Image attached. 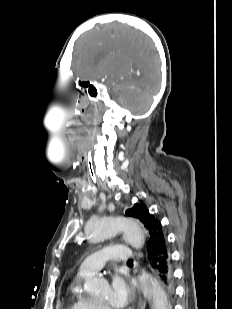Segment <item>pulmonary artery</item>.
<instances>
[{
  "label": "pulmonary artery",
  "mask_w": 232,
  "mask_h": 309,
  "mask_svg": "<svg viewBox=\"0 0 232 309\" xmlns=\"http://www.w3.org/2000/svg\"><path fill=\"white\" fill-rule=\"evenodd\" d=\"M133 252L125 246H107L90 254L80 265L78 274L84 277L94 275L106 261L126 262Z\"/></svg>",
  "instance_id": "pulmonary-artery-1"
}]
</instances>
